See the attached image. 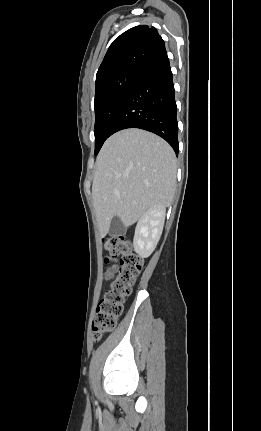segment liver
<instances>
[{
  "mask_svg": "<svg viewBox=\"0 0 261 431\" xmlns=\"http://www.w3.org/2000/svg\"><path fill=\"white\" fill-rule=\"evenodd\" d=\"M176 170L173 149L157 135L131 128L110 136L97 156L92 184L100 235H107L115 216L129 227L148 209L169 206Z\"/></svg>",
  "mask_w": 261,
  "mask_h": 431,
  "instance_id": "obj_1",
  "label": "liver"
}]
</instances>
